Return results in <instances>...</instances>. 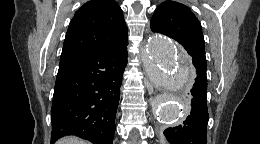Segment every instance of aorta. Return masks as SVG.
Returning <instances> with one entry per match:
<instances>
[{
    "label": "aorta",
    "mask_w": 260,
    "mask_h": 144,
    "mask_svg": "<svg viewBox=\"0 0 260 144\" xmlns=\"http://www.w3.org/2000/svg\"><path fill=\"white\" fill-rule=\"evenodd\" d=\"M143 62L150 81L172 91L153 100L157 119L179 122L186 114L184 91L191 75L190 58L173 40L153 34L144 46Z\"/></svg>",
    "instance_id": "aorta-1"
}]
</instances>
